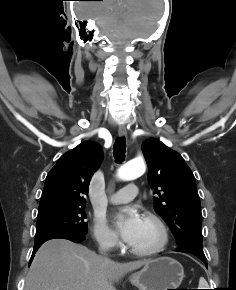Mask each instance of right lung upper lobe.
<instances>
[{
	"mask_svg": "<svg viewBox=\"0 0 236 290\" xmlns=\"http://www.w3.org/2000/svg\"><path fill=\"white\" fill-rule=\"evenodd\" d=\"M102 157L101 148L94 142H82L62 155L46 177L39 209L85 205L91 177Z\"/></svg>",
	"mask_w": 236,
	"mask_h": 290,
	"instance_id": "right-lung-upper-lobe-1",
	"label": "right lung upper lobe"
}]
</instances>
